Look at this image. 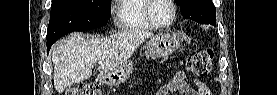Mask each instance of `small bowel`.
<instances>
[{
	"label": "small bowel",
	"instance_id": "c3829d8e",
	"mask_svg": "<svg viewBox=\"0 0 277 95\" xmlns=\"http://www.w3.org/2000/svg\"><path fill=\"white\" fill-rule=\"evenodd\" d=\"M185 94V95H209L211 89L203 82L197 79L187 81V75L184 71L175 73L173 79L162 85L157 95Z\"/></svg>",
	"mask_w": 277,
	"mask_h": 95
}]
</instances>
